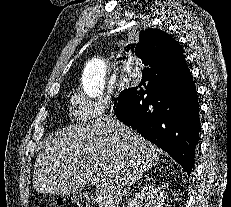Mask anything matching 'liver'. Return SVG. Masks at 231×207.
Returning <instances> with one entry per match:
<instances>
[{"instance_id":"liver-1","label":"liver","mask_w":231,"mask_h":207,"mask_svg":"<svg viewBox=\"0 0 231 207\" xmlns=\"http://www.w3.org/2000/svg\"><path fill=\"white\" fill-rule=\"evenodd\" d=\"M34 165L37 192L71 196L94 179L99 207H119L124 196L159 160L162 150L112 114L49 136Z\"/></svg>"}]
</instances>
